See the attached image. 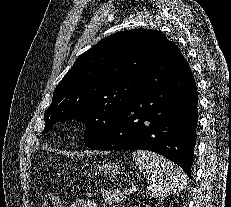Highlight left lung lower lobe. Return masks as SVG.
Returning a JSON list of instances; mask_svg holds the SVG:
<instances>
[{
  "mask_svg": "<svg viewBox=\"0 0 231 207\" xmlns=\"http://www.w3.org/2000/svg\"><path fill=\"white\" fill-rule=\"evenodd\" d=\"M196 83L173 43L144 78V90L95 150L145 149L178 164L191 176L198 122Z\"/></svg>",
  "mask_w": 231,
  "mask_h": 207,
  "instance_id": "obj_1",
  "label": "left lung lower lobe"
}]
</instances>
